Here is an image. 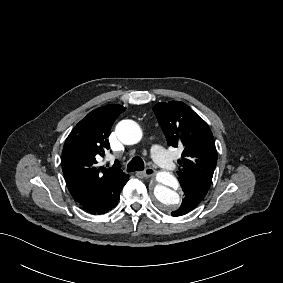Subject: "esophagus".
<instances>
[{
  "instance_id": "34e87169",
  "label": "esophagus",
  "mask_w": 283,
  "mask_h": 283,
  "mask_svg": "<svg viewBox=\"0 0 283 283\" xmlns=\"http://www.w3.org/2000/svg\"><path fill=\"white\" fill-rule=\"evenodd\" d=\"M155 173L156 171L151 167L146 168L144 171L138 172L139 175L146 177V178L154 176Z\"/></svg>"
}]
</instances>
